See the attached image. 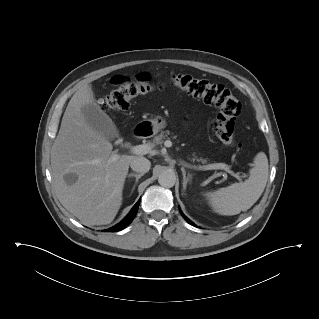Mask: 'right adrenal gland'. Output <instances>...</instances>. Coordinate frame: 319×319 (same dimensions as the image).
Listing matches in <instances>:
<instances>
[{
    "instance_id": "2a0ac1e0",
    "label": "right adrenal gland",
    "mask_w": 319,
    "mask_h": 319,
    "mask_svg": "<svg viewBox=\"0 0 319 319\" xmlns=\"http://www.w3.org/2000/svg\"><path fill=\"white\" fill-rule=\"evenodd\" d=\"M143 173L137 174V173H130L128 177H135L136 183H138V180L143 176ZM135 189V186L133 187L132 191Z\"/></svg>"
}]
</instances>
